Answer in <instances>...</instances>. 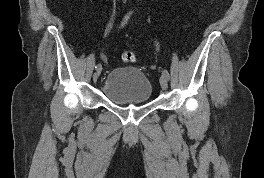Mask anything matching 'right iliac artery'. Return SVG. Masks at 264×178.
Wrapping results in <instances>:
<instances>
[{
	"mask_svg": "<svg viewBox=\"0 0 264 178\" xmlns=\"http://www.w3.org/2000/svg\"><path fill=\"white\" fill-rule=\"evenodd\" d=\"M129 17H130V13H128V14L125 16V18L123 19V21H122V23H121V27H123V26L127 23ZM95 69H96V70H102V65H101V64H97V65L95 66Z\"/></svg>",
	"mask_w": 264,
	"mask_h": 178,
	"instance_id": "obj_1",
	"label": "right iliac artery"
}]
</instances>
